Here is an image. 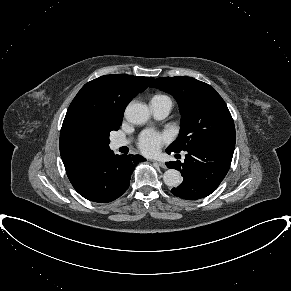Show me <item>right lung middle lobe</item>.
I'll return each instance as SVG.
<instances>
[{"mask_svg":"<svg viewBox=\"0 0 291 291\" xmlns=\"http://www.w3.org/2000/svg\"><path fill=\"white\" fill-rule=\"evenodd\" d=\"M122 119L110 120L100 123L96 129L89 135L90 139L109 147V135L112 130H118Z\"/></svg>","mask_w":291,"mask_h":291,"instance_id":"obj_1","label":"right lung middle lobe"}]
</instances>
